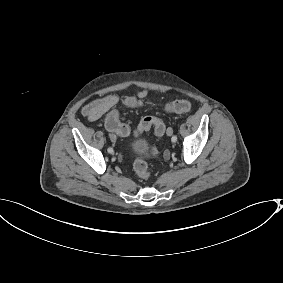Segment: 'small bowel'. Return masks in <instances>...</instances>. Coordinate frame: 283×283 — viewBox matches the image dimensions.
Here are the masks:
<instances>
[{
	"label": "small bowel",
	"mask_w": 283,
	"mask_h": 283,
	"mask_svg": "<svg viewBox=\"0 0 283 283\" xmlns=\"http://www.w3.org/2000/svg\"><path fill=\"white\" fill-rule=\"evenodd\" d=\"M136 94L137 97L142 99L147 96V91L137 90ZM120 103L121 101L118 95L109 94L85 105L82 109V114L89 121H96L107 116L110 112L116 111Z\"/></svg>",
	"instance_id": "obj_1"
}]
</instances>
